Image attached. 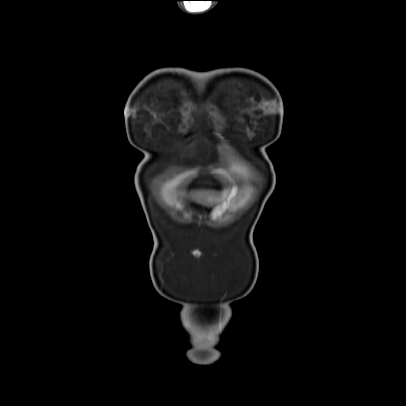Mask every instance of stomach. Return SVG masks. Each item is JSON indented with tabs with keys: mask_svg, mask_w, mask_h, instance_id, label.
Instances as JSON below:
<instances>
[{
	"mask_svg": "<svg viewBox=\"0 0 406 406\" xmlns=\"http://www.w3.org/2000/svg\"><path fill=\"white\" fill-rule=\"evenodd\" d=\"M235 193H236V191H233L229 199H231V198L235 195ZM227 205H228V202L222 204L221 206H218V207L214 210L213 216L216 217V216L221 215V214L225 211Z\"/></svg>",
	"mask_w": 406,
	"mask_h": 406,
	"instance_id": "stomach-1",
	"label": "stomach"
}]
</instances>
